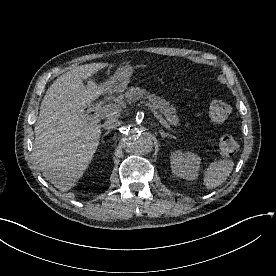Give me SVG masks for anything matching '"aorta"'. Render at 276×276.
<instances>
[{
    "label": "aorta",
    "mask_w": 276,
    "mask_h": 276,
    "mask_svg": "<svg viewBox=\"0 0 276 276\" xmlns=\"http://www.w3.org/2000/svg\"><path fill=\"white\" fill-rule=\"evenodd\" d=\"M125 148L127 152L133 155H146L153 149L152 136L130 126L125 130Z\"/></svg>",
    "instance_id": "762f6f07"
}]
</instances>
